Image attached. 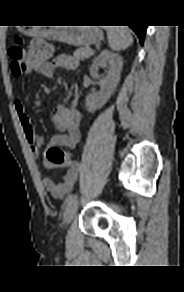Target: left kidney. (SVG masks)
<instances>
[{
	"instance_id": "obj_1",
	"label": "left kidney",
	"mask_w": 184,
	"mask_h": 292,
	"mask_svg": "<svg viewBox=\"0 0 184 292\" xmlns=\"http://www.w3.org/2000/svg\"><path fill=\"white\" fill-rule=\"evenodd\" d=\"M109 66L107 75L103 78L99 76V68ZM123 59L120 55L111 51H102L93 61L90 67V75L99 79L100 91L98 93H90L86 96V108L90 113L102 108L114 93L122 71Z\"/></svg>"
}]
</instances>
